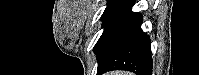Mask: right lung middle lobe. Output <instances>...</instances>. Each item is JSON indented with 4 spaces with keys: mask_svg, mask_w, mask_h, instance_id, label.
I'll use <instances>...</instances> for the list:
<instances>
[{
    "mask_svg": "<svg viewBox=\"0 0 199 75\" xmlns=\"http://www.w3.org/2000/svg\"><path fill=\"white\" fill-rule=\"evenodd\" d=\"M127 4L128 1L126 0H119L113 3H107V7L102 15L104 32L99 38L98 42L96 43L94 47V52L98 49L99 45L101 44L109 26L113 23V21L117 18V16L124 10Z\"/></svg>",
    "mask_w": 199,
    "mask_h": 75,
    "instance_id": "obj_1",
    "label": "right lung middle lobe"
}]
</instances>
